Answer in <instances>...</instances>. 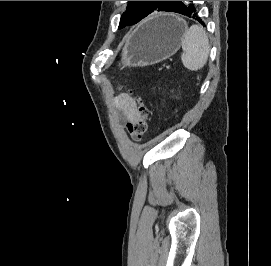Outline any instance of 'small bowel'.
Returning a JSON list of instances; mask_svg holds the SVG:
<instances>
[{
	"instance_id": "obj_1",
	"label": "small bowel",
	"mask_w": 271,
	"mask_h": 266,
	"mask_svg": "<svg viewBox=\"0 0 271 266\" xmlns=\"http://www.w3.org/2000/svg\"><path fill=\"white\" fill-rule=\"evenodd\" d=\"M116 105L122 110L129 122L138 117V110L135 101L127 95H120L115 100Z\"/></svg>"
}]
</instances>
